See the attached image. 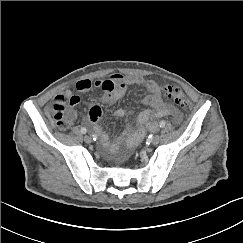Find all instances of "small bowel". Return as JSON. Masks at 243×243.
<instances>
[{
  "mask_svg": "<svg viewBox=\"0 0 243 243\" xmlns=\"http://www.w3.org/2000/svg\"><path fill=\"white\" fill-rule=\"evenodd\" d=\"M130 85L142 86L147 92V95L142 99V103L146 105L147 108L141 111L137 117V129L133 130L132 124L128 122L123 132V134L127 136L130 144L135 145L144 138L147 131H155L157 129V124L153 121L154 118L170 115L178 118L180 116L174 107L163 101L161 88L157 82L142 76L126 77L121 74H114L110 78L104 80H79L75 84V88L80 93L88 92L92 89L100 90L103 92L100 99L101 102L114 104L124 96ZM80 102L81 98L78 94L65 91L55 96L49 111L52 112L55 105H63L65 107V104H68L71 109L67 117L71 124L77 117L74 107L78 106ZM128 115H130V111L125 109H118L115 111V116L117 118H125ZM101 116V106L93 105L88 111L87 119L92 124L95 133L99 136L101 144L105 148L114 151L117 149L118 142H111L108 135L102 130L99 124Z\"/></svg>",
  "mask_w": 243,
  "mask_h": 243,
  "instance_id": "c3829d8e",
  "label": "small bowel"
}]
</instances>
